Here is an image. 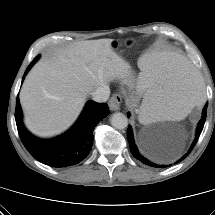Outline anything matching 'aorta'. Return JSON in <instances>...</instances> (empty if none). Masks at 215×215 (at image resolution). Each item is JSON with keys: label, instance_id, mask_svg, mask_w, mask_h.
<instances>
[{"label": "aorta", "instance_id": "obj_1", "mask_svg": "<svg viewBox=\"0 0 215 215\" xmlns=\"http://www.w3.org/2000/svg\"><path fill=\"white\" fill-rule=\"evenodd\" d=\"M111 124L116 129H125L128 126V119L127 117L121 113L116 112L111 116Z\"/></svg>", "mask_w": 215, "mask_h": 215}]
</instances>
